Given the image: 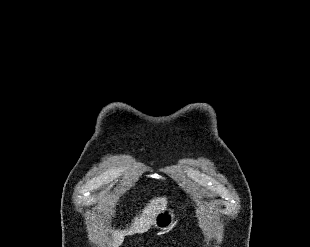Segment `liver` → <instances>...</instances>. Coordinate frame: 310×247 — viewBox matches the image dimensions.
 Segmentation results:
<instances>
[{
  "label": "liver",
  "mask_w": 310,
  "mask_h": 247,
  "mask_svg": "<svg viewBox=\"0 0 310 247\" xmlns=\"http://www.w3.org/2000/svg\"><path fill=\"white\" fill-rule=\"evenodd\" d=\"M167 205L166 197H157L150 200L147 206L142 210L138 217L134 218L132 226L129 230H117L112 232L113 243L112 247H119L125 235H133L136 233H144L149 230L154 222L157 213Z\"/></svg>",
  "instance_id": "1"
}]
</instances>
